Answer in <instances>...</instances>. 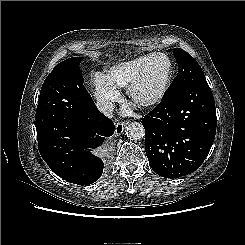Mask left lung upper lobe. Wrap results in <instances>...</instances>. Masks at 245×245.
I'll list each match as a JSON object with an SVG mask.
<instances>
[{"mask_svg":"<svg viewBox=\"0 0 245 245\" xmlns=\"http://www.w3.org/2000/svg\"><path fill=\"white\" fill-rule=\"evenodd\" d=\"M172 51V49L168 50ZM174 57L178 63V74L165 94H172L186 86L199 81H206L200 65L186 51L181 48L173 50Z\"/></svg>","mask_w":245,"mask_h":245,"instance_id":"1","label":"left lung upper lobe"}]
</instances>
